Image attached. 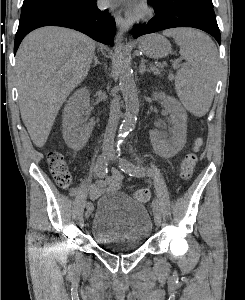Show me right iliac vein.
Here are the masks:
<instances>
[{"label": "right iliac vein", "mask_w": 245, "mask_h": 300, "mask_svg": "<svg viewBox=\"0 0 245 300\" xmlns=\"http://www.w3.org/2000/svg\"><path fill=\"white\" fill-rule=\"evenodd\" d=\"M108 157H109V156H108ZM93 208H94V206H93L92 204H91L90 206H87V207H86V211H85V218H86V219L89 218L90 215L92 214Z\"/></svg>", "instance_id": "63e3f726"}]
</instances>
